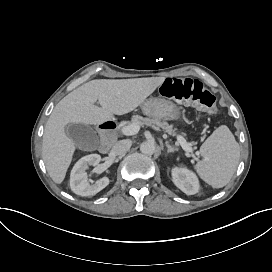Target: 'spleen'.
I'll return each instance as SVG.
<instances>
[{
	"label": "spleen",
	"instance_id": "obj_1",
	"mask_svg": "<svg viewBox=\"0 0 272 272\" xmlns=\"http://www.w3.org/2000/svg\"><path fill=\"white\" fill-rule=\"evenodd\" d=\"M203 160L195 170L213 188H222L231 180L240 158V147L226 125L219 126L201 145Z\"/></svg>",
	"mask_w": 272,
	"mask_h": 272
}]
</instances>
